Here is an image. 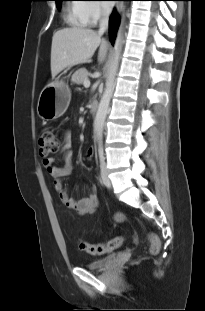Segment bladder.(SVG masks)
Instances as JSON below:
<instances>
[{
	"instance_id": "1",
	"label": "bladder",
	"mask_w": 205,
	"mask_h": 311,
	"mask_svg": "<svg viewBox=\"0 0 205 311\" xmlns=\"http://www.w3.org/2000/svg\"><path fill=\"white\" fill-rule=\"evenodd\" d=\"M115 258L114 254L108 255L104 258L97 259L85 264V268L88 270H103L105 269Z\"/></svg>"
}]
</instances>
